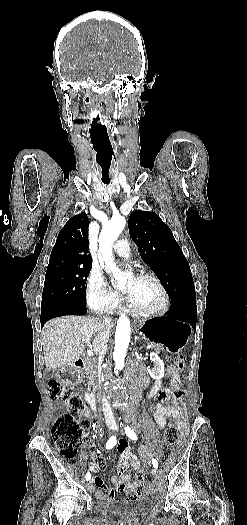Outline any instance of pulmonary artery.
Listing matches in <instances>:
<instances>
[{"mask_svg": "<svg viewBox=\"0 0 247 525\" xmlns=\"http://www.w3.org/2000/svg\"><path fill=\"white\" fill-rule=\"evenodd\" d=\"M114 251L119 256L126 257L131 252V242L128 237L119 238L114 244Z\"/></svg>", "mask_w": 247, "mask_h": 525, "instance_id": "obj_1", "label": "pulmonary artery"}]
</instances>
